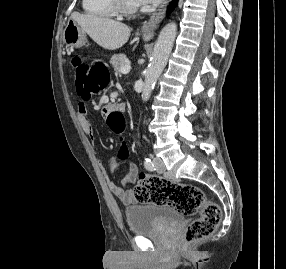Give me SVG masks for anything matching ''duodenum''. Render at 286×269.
I'll list each match as a JSON object with an SVG mask.
<instances>
[{"mask_svg": "<svg viewBox=\"0 0 286 269\" xmlns=\"http://www.w3.org/2000/svg\"><path fill=\"white\" fill-rule=\"evenodd\" d=\"M108 108H110V110H112V109L115 108V106L109 105ZM118 109H119V110H124V109H125V106H124V105H120V106L118 107Z\"/></svg>", "mask_w": 286, "mask_h": 269, "instance_id": "duodenum-1", "label": "duodenum"}]
</instances>
